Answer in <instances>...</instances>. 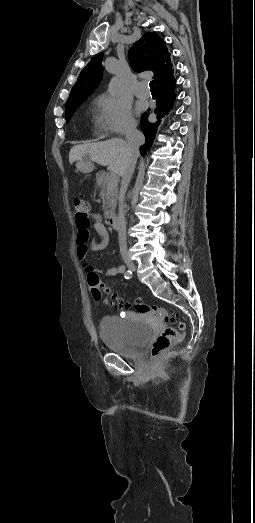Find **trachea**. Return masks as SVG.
Segmentation results:
<instances>
[{"label": "trachea", "mask_w": 255, "mask_h": 523, "mask_svg": "<svg viewBox=\"0 0 255 523\" xmlns=\"http://www.w3.org/2000/svg\"><path fill=\"white\" fill-rule=\"evenodd\" d=\"M150 90L151 91H155V86H154V82H150Z\"/></svg>", "instance_id": "3493384b"}]
</instances>
